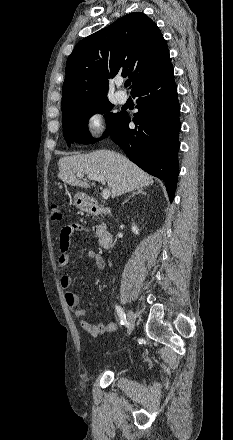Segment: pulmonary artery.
<instances>
[{"label":"pulmonary artery","mask_w":233,"mask_h":440,"mask_svg":"<svg viewBox=\"0 0 233 440\" xmlns=\"http://www.w3.org/2000/svg\"><path fill=\"white\" fill-rule=\"evenodd\" d=\"M116 98H117V100H118V102L119 103H125L126 101H127V99H128V96H127V94L125 93V92H123V91H118L117 93H116Z\"/></svg>","instance_id":"pulmonary-artery-1"}]
</instances>
